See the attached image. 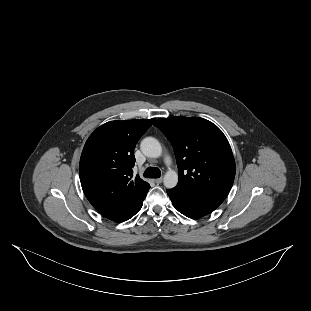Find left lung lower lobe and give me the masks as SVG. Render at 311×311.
I'll return each instance as SVG.
<instances>
[{
	"instance_id": "left-lung-lower-lobe-1",
	"label": "left lung lower lobe",
	"mask_w": 311,
	"mask_h": 311,
	"mask_svg": "<svg viewBox=\"0 0 311 311\" xmlns=\"http://www.w3.org/2000/svg\"><path fill=\"white\" fill-rule=\"evenodd\" d=\"M167 194L179 212L193 219L211 213L223 202L220 199L199 196L177 187L168 189Z\"/></svg>"
}]
</instances>
